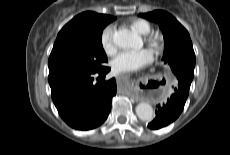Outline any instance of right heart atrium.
Wrapping results in <instances>:
<instances>
[{
    "label": "right heart atrium",
    "instance_id": "d8ad5b80",
    "mask_svg": "<svg viewBox=\"0 0 230 155\" xmlns=\"http://www.w3.org/2000/svg\"><path fill=\"white\" fill-rule=\"evenodd\" d=\"M101 46L106 54H112L116 50L114 42V29L111 26L106 27L101 34Z\"/></svg>",
    "mask_w": 230,
    "mask_h": 155
}]
</instances>
